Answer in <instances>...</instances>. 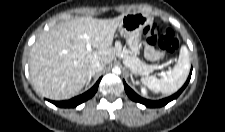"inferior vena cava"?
<instances>
[{"instance_id": "602c4592", "label": "inferior vena cava", "mask_w": 225, "mask_h": 132, "mask_svg": "<svg viewBox=\"0 0 225 132\" xmlns=\"http://www.w3.org/2000/svg\"><path fill=\"white\" fill-rule=\"evenodd\" d=\"M104 66L100 61L93 60L89 65V74L100 73L104 69Z\"/></svg>"}]
</instances>
